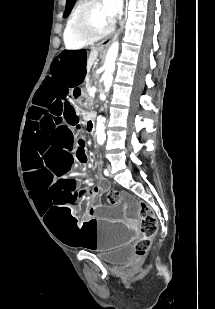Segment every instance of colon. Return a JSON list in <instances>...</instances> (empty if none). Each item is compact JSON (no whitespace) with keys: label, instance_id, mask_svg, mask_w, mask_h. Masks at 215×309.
Wrapping results in <instances>:
<instances>
[{"label":"colon","instance_id":"colon-1","mask_svg":"<svg viewBox=\"0 0 215 309\" xmlns=\"http://www.w3.org/2000/svg\"><path fill=\"white\" fill-rule=\"evenodd\" d=\"M107 201L111 205H116L119 202V194L117 191H110L107 194ZM141 228L143 236L134 243V254L136 256H143L150 247L152 236L157 231L156 219L152 214L150 207H143L140 210Z\"/></svg>","mask_w":215,"mask_h":309}]
</instances>
